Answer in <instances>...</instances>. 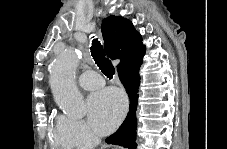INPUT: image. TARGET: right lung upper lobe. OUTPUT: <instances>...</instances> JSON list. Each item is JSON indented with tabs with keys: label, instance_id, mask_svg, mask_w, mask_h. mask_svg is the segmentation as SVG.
<instances>
[{
	"label": "right lung upper lobe",
	"instance_id": "1",
	"mask_svg": "<svg viewBox=\"0 0 227 149\" xmlns=\"http://www.w3.org/2000/svg\"><path fill=\"white\" fill-rule=\"evenodd\" d=\"M104 46L111 59H120L117 70L126 64L142 61L145 47L133 24L120 16H109L101 25Z\"/></svg>",
	"mask_w": 227,
	"mask_h": 149
}]
</instances>
